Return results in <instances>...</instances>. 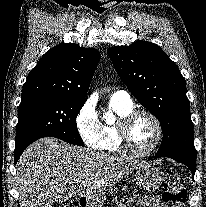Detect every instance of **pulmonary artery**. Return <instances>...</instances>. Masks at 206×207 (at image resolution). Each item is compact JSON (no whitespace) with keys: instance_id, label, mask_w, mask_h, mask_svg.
Masks as SVG:
<instances>
[{"instance_id":"pulmonary-artery-1","label":"pulmonary artery","mask_w":206,"mask_h":207,"mask_svg":"<svg viewBox=\"0 0 206 207\" xmlns=\"http://www.w3.org/2000/svg\"><path fill=\"white\" fill-rule=\"evenodd\" d=\"M111 98L118 100L120 102H123L125 104H132L130 95L126 91H123V90L114 92Z\"/></svg>"}]
</instances>
